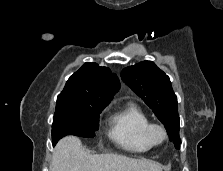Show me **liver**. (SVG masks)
I'll use <instances>...</instances> for the list:
<instances>
[{
  "instance_id": "obj_1",
  "label": "liver",
  "mask_w": 223,
  "mask_h": 171,
  "mask_svg": "<svg viewBox=\"0 0 223 171\" xmlns=\"http://www.w3.org/2000/svg\"><path fill=\"white\" fill-rule=\"evenodd\" d=\"M162 165L117 154H90L79 138L66 136L55 146L50 171H162Z\"/></svg>"
}]
</instances>
